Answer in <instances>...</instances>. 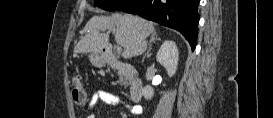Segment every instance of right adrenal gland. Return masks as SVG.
Returning a JSON list of instances; mask_svg holds the SVG:
<instances>
[{"mask_svg":"<svg viewBox=\"0 0 273 118\" xmlns=\"http://www.w3.org/2000/svg\"><path fill=\"white\" fill-rule=\"evenodd\" d=\"M156 40H160V38H158V35L156 32L152 33L151 37H150V44H149V47H148V50H147V53L145 54L143 60L146 58V57H149L150 54L149 52L151 51V47H152V43L155 42Z\"/></svg>","mask_w":273,"mask_h":118,"instance_id":"right-adrenal-gland-1","label":"right adrenal gland"}]
</instances>
